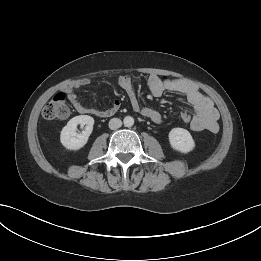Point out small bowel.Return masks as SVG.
Returning <instances> with one entry per match:
<instances>
[{
    "label": "small bowel",
    "mask_w": 261,
    "mask_h": 261,
    "mask_svg": "<svg viewBox=\"0 0 261 261\" xmlns=\"http://www.w3.org/2000/svg\"><path fill=\"white\" fill-rule=\"evenodd\" d=\"M88 83L89 80L83 78L66 88L67 97L76 111L81 114H93L99 117H107L114 114L120 107V102L117 100L113 102L110 108L105 110L87 107L79 102L75 89L83 87ZM118 85L127 93L132 109L135 112H139L141 115L149 118L155 123H160L162 121V116L157 110L140 106L129 76L119 77ZM148 87L151 94L155 97H160L165 91L183 94L195 110V114L190 120V127L193 131L199 132L206 130L212 133L218 131L219 113L217 109L214 107L212 100L201 93L192 83L181 79L160 77L152 74L148 77Z\"/></svg>",
    "instance_id": "c3829d8e"
}]
</instances>
